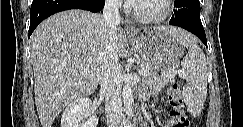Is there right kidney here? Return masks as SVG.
Listing matches in <instances>:
<instances>
[{"label":"right kidney","mask_w":243,"mask_h":127,"mask_svg":"<svg viewBox=\"0 0 243 127\" xmlns=\"http://www.w3.org/2000/svg\"><path fill=\"white\" fill-rule=\"evenodd\" d=\"M92 101L81 97L69 103L63 111L61 127H96L98 117L91 113Z\"/></svg>","instance_id":"ca27d5eb"}]
</instances>
